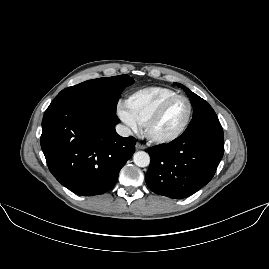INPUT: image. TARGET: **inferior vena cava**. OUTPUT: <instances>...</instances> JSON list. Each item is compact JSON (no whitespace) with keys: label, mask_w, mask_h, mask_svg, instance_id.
<instances>
[{"label":"inferior vena cava","mask_w":269,"mask_h":269,"mask_svg":"<svg viewBox=\"0 0 269 269\" xmlns=\"http://www.w3.org/2000/svg\"><path fill=\"white\" fill-rule=\"evenodd\" d=\"M116 132L122 137H128L132 134L131 130L128 127L121 124L116 125Z\"/></svg>","instance_id":"obj_1"}]
</instances>
